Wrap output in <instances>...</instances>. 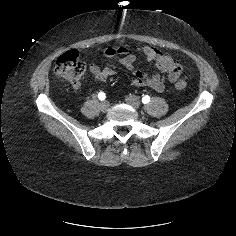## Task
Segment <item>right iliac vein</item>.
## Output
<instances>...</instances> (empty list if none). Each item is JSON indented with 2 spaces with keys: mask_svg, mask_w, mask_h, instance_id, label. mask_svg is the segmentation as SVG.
Returning <instances> with one entry per match:
<instances>
[{
  "mask_svg": "<svg viewBox=\"0 0 236 236\" xmlns=\"http://www.w3.org/2000/svg\"><path fill=\"white\" fill-rule=\"evenodd\" d=\"M109 107H110V104H109L108 101H104V102H102V103L100 104V109H101V111H103V112L108 111Z\"/></svg>",
  "mask_w": 236,
  "mask_h": 236,
  "instance_id": "obj_1",
  "label": "right iliac vein"
}]
</instances>
